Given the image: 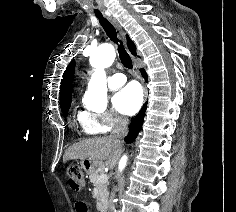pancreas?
Instances as JSON below:
<instances>
[{
	"label": "pancreas",
	"mask_w": 236,
	"mask_h": 212,
	"mask_svg": "<svg viewBox=\"0 0 236 212\" xmlns=\"http://www.w3.org/2000/svg\"><path fill=\"white\" fill-rule=\"evenodd\" d=\"M102 175V170L98 169L90 174V181L97 189V209L104 211L108 205L109 192L107 189V180L100 181L99 176Z\"/></svg>",
	"instance_id": "pancreas-1"
}]
</instances>
